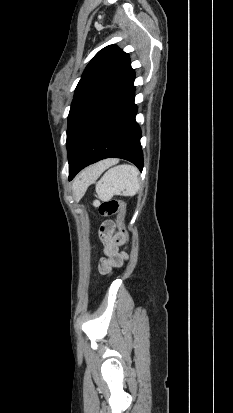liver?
Instances as JSON below:
<instances>
[{"mask_svg": "<svg viewBox=\"0 0 233 413\" xmlns=\"http://www.w3.org/2000/svg\"><path fill=\"white\" fill-rule=\"evenodd\" d=\"M108 163H109L108 161L100 162V163L90 167L89 169H87L86 172L84 173V175L90 176L94 172L103 170Z\"/></svg>", "mask_w": 233, "mask_h": 413, "instance_id": "6515ba94", "label": "liver"}]
</instances>
